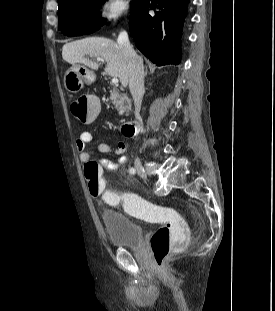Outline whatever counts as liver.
<instances>
[{"mask_svg":"<svg viewBox=\"0 0 275 311\" xmlns=\"http://www.w3.org/2000/svg\"><path fill=\"white\" fill-rule=\"evenodd\" d=\"M86 56L102 58L107 63L105 72L112 77L119 78L124 87L128 85V58L117 43L103 37H89L66 43L62 48V57L67 63L72 65L80 63L97 70L98 64Z\"/></svg>","mask_w":275,"mask_h":311,"instance_id":"6515ba94","label":"liver"}]
</instances>
